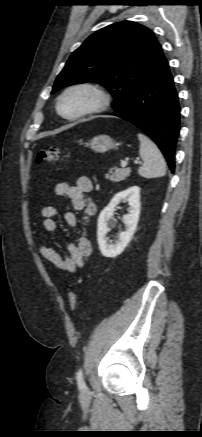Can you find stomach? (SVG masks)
<instances>
[{"instance_id": "0dacf381", "label": "stomach", "mask_w": 202, "mask_h": 437, "mask_svg": "<svg viewBox=\"0 0 202 437\" xmlns=\"http://www.w3.org/2000/svg\"><path fill=\"white\" fill-rule=\"evenodd\" d=\"M119 144L116 143L110 136L108 135H99L94 137L87 146H89L93 151L104 153L111 149H116Z\"/></svg>"}]
</instances>
